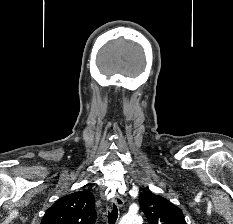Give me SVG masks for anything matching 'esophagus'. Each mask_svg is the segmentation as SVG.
Returning <instances> with one entry per match:
<instances>
[{"label": "esophagus", "mask_w": 233, "mask_h": 224, "mask_svg": "<svg viewBox=\"0 0 233 224\" xmlns=\"http://www.w3.org/2000/svg\"><path fill=\"white\" fill-rule=\"evenodd\" d=\"M113 203L117 206V207H122L124 205V200L122 197L120 196H115L113 199Z\"/></svg>", "instance_id": "34e87169"}]
</instances>
